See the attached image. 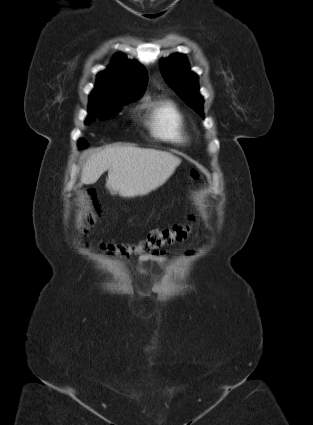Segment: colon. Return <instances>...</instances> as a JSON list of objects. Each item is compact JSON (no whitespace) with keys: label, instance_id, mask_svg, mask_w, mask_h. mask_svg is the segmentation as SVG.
Instances as JSON below:
<instances>
[{"label":"colon","instance_id":"obj_1","mask_svg":"<svg viewBox=\"0 0 313 425\" xmlns=\"http://www.w3.org/2000/svg\"><path fill=\"white\" fill-rule=\"evenodd\" d=\"M189 177L191 179H197V171L191 170ZM89 195L92 199V207L81 220L80 232L82 236L88 234L90 227L95 223L97 216L101 213V208L96 201L95 193L90 190ZM190 233L191 229L188 225H175L164 229L152 230L144 240L136 244L106 243L101 245V249L109 255H118L122 257L157 254L165 247L184 241Z\"/></svg>","mask_w":313,"mask_h":425}]
</instances>
